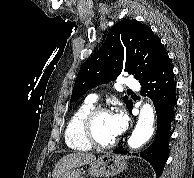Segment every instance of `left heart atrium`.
Instances as JSON below:
<instances>
[{
	"label": "left heart atrium",
	"instance_id": "left-heart-atrium-1",
	"mask_svg": "<svg viewBox=\"0 0 194 178\" xmlns=\"http://www.w3.org/2000/svg\"><path fill=\"white\" fill-rule=\"evenodd\" d=\"M127 125V119L123 112H117L112 114V128L117 135L121 134Z\"/></svg>",
	"mask_w": 194,
	"mask_h": 178
}]
</instances>
